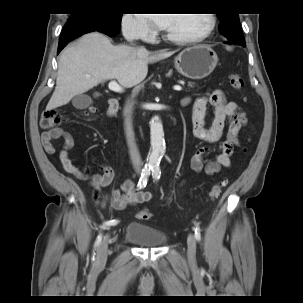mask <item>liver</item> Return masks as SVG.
<instances>
[{"instance_id": "obj_1", "label": "liver", "mask_w": 303, "mask_h": 303, "mask_svg": "<svg viewBox=\"0 0 303 303\" xmlns=\"http://www.w3.org/2000/svg\"><path fill=\"white\" fill-rule=\"evenodd\" d=\"M172 51L150 53L127 45L114 46L105 35L92 32L62 52L58 63L56 87L46 109L66 105L99 83L116 79L131 88L147 76L148 63L170 57Z\"/></svg>"}]
</instances>
